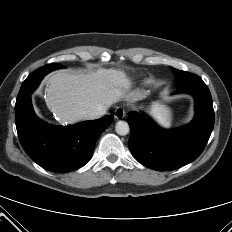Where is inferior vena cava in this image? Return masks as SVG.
<instances>
[{"label":"inferior vena cava","mask_w":232,"mask_h":232,"mask_svg":"<svg viewBox=\"0 0 232 232\" xmlns=\"http://www.w3.org/2000/svg\"><path fill=\"white\" fill-rule=\"evenodd\" d=\"M107 111V108L106 107H100L96 110H93V111H89L85 114V118L86 119H97V118H100L102 115H104Z\"/></svg>","instance_id":"obj_1"}]
</instances>
